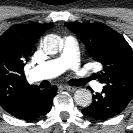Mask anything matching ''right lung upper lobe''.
I'll return each mask as SVG.
<instances>
[{
	"label": "right lung upper lobe",
	"mask_w": 133,
	"mask_h": 133,
	"mask_svg": "<svg viewBox=\"0 0 133 133\" xmlns=\"http://www.w3.org/2000/svg\"><path fill=\"white\" fill-rule=\"evenodd\" d=\"M52 25H12L0 36V104L7 112L25 108L30 98L40 91L28 84L23 68L38 38Z\"/></svg>",
	"instance_id": "right-lung-upper-lobe-1"
}]
</instances>
